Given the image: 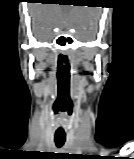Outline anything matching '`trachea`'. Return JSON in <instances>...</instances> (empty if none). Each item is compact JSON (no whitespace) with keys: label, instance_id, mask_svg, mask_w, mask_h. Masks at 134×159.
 Listing matches in <instances>:
<instances>
[{"label":"trachea","instance_id":"trachea-1","mask_svg":"<svg viewBox=\"0 0 134 159\" xmlns=\"http://www.w3.org/2000/svg\"><path fill=\"white\" fill-rule=\"evenodd\" d=\"M66 140V135L65 133H56L55 134V144L58 148H61Z\"/></svg>","mask_w":134,"mask_h":159}]
</instances>
